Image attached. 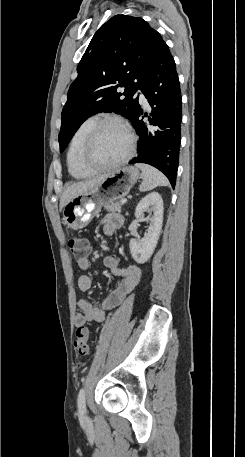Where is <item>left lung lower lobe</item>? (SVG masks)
<instances>
[{"label":"left lung lower lobe","instance_id":"1","mask_svg":"<svg viewBox=\"0 0 245 457\" xmlns=\"http://www.w3.org/2000/svg\"><path fill=\"white\" fill-rule=\"evenodd\" d=\"M139 90L152 107V113L149 116L144 113L149 124L139 119L143 115L140 105L133 115L131 122L139 135L138 155L129 163L156 167L174 188L181 143L182 99L175 62L162 38L153 50Z\"/></svg>","mask_w":245,"mask_h":457}]
</instances>
